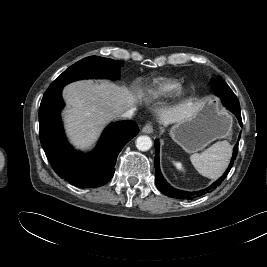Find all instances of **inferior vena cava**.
I'll use <instances>...</instances> for the list:
<instances>
[{
    "instance_id": "inferior-vena-cava-1",
    "label": "inferior vena cava",
    "mask_w": 267,
    "mask_h": 267,
    "mask_svg": "<svg viewBox=\"0 0 267 267\" xmlns=\"http://www.w3.org/2000/svg\"><path fill=\"white\" fill-rule=\"evenodd\" d=\"M134 111H135V109L131 108V109L127 110L126 112L122 113L121 117H123V118H132V116L134 115Z\"/></svg>"
}]
</instances>
